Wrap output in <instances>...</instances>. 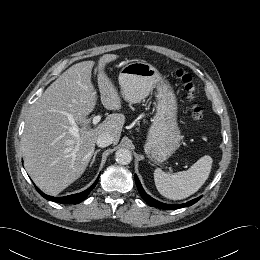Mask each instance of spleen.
<instances>
[{
    "label": "spleen",
    "instance_id": "spleen-1",
    "mask_svg": "<svg viewBox=\"0 0 260 260\" xmlns=\"http://www.w3.org/2000/svg\"><path fill=\"white\" fill-rule=\"evenodd\" d=\"M212 167V158L201 157L188 170L167 174L157 168L154 171V182L157 190L171 200H181L197 192L208 179Z\"/></svg>",
    "mask_w": 260,
    "mask_h": 260
}]
</instances>
